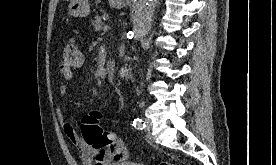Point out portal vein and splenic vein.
<instances>
[{
    "label": "portal vein and splenic vein",
    "mask_w": 276,
    "mask_h": 165,
    "mask_svg": "<svg viewBox=\"0 0 276 165\" xmlns=\"http://www.w3.org/2000/svg\"><path fill=\"white\" fill-rule=\"evenodd\" d=\"M110 29H111V27L108 26V25H105V26L103 27V31H109Z\"/></svg>",
    "instance_id": "1"
}]
</instances>
